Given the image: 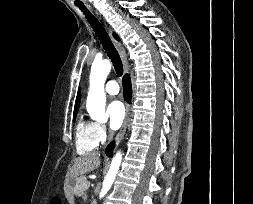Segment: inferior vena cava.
<instances>
[{"mask_svg":"<svg viewBox=\"0 0 253 204\" xmlns=\"http://www.w3.org/2000/svg\"><path fill=\"white\" fill-rule=\"evenodd\" d=\"M113 138V132H109V135H108V140H111Z\"/></svg>","mask_w":253,"mask_h":204,"instance_id":"inferior-vena-cava-1","label":"inferior vena cava"}]
</instances>
